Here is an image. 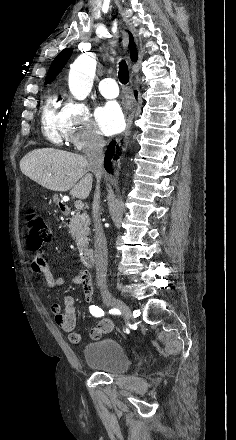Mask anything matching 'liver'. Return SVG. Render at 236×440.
<instances>
[{"label":"liver","instance_id":"6515ba94","mask_svg":"<svg viewBox=\"0 0 236 440\" xmlns=\"http://www.w3.org/2000/svg\"><path fill=\"white\" fill-rule=\"evenodd\" d=\"M21 172L42 187L52 191H68L86 199L93 176L88 159L76 153L53 148L34 149L20 161Z\"/></svg>","mask_w":236,"mask_h":440}]
</instances>
